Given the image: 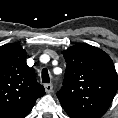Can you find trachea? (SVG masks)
I'll return each instance as SVG.
<instances>
[{"mask_svg":"<svg viewBox=\"0 0 118 118\" xmlns=\"http://www.w3.org/2000/svg\"><path fill=\"white\" fill-rule=\"evenodd\" d=\"M42 82L43 83H49L50 82L49 73H48L47 69L42 70Z\"/></svg>","mask_w":118,"mask_h":118,"instance_id":"1","label":"trachea"}]
</instances>
